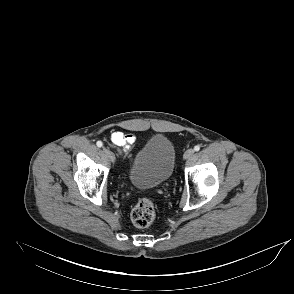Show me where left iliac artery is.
<instances>
[{"instance_id": "left-iliac-artery-1", "label": "left iliac artery", "mask_w": 294, "mask_h": 294, "mask_svg": "<svg viewBox=\"0 0 294 294\" xmlns=\"http://www.w3.org/2000/svg\"><path fill=\"white\" fill-rule=\"evenodd\" d=\"M194 150H195V151H199V150H200V146H199V145H196V146L194 147Z\"/></svg>"}]
</instances>
